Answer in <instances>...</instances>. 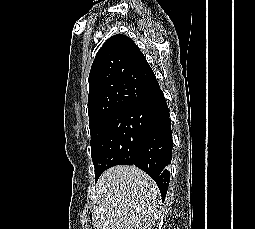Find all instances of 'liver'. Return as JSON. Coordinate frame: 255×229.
<instances>
[{"instance_id": "liver-1", "label": "liver", "mask_w": 255, "mask_h": 229, "mask_svg": "<svg viewBox=\"0 0 255 229\" xmlns=\"http://www.w3.org/2000/svg\"><path fill=\"white\" fill-rule=\"evenodd\" d=\"M92 211L94 229H151L158 217L156 183L135 166L106 170L96 185Z\"/></svg>"}]
</instances>
